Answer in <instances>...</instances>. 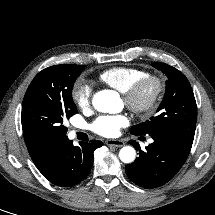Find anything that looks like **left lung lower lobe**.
<instances>
[{
    "label": "left lung lower lobe",
    "instance_id": "obj_1",
    "mask_svg": "<svg viewBox=\"0 0 215 215\" xmlns=\"http://www.w3.org/2000/svg\"><path fill=\"white\" fill-rule=\"evenodd\" d=\"M152 144L142 151L135 141H130L139 150V157L126 165L129 179L144 188L164 185L173 178L185 163L192 144L173 135L161 133L151 136Z\"/></svg>",
    "mask_w": 215,
    "mask_h": 215
}]
</instances>
